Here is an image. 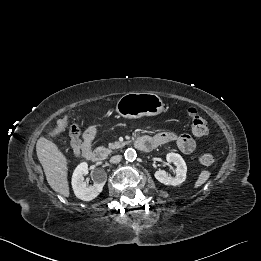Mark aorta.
<instances>
[{"label": "aorta", "mask_w": 261, "mask_h": 261, "mask_svg": "<svg viewBox=\"0 0 261 261\" xmlns=\"http://www.w3.org/2000/svg\"><path fill=\"white\" fill-rule=\"evenodd\" d=\"M124 155L125 159L128 161H134L137 157L136 151L133 148L126 149Z\"/></svg>", "instance_id": "762f6f07"}]
</instances>
